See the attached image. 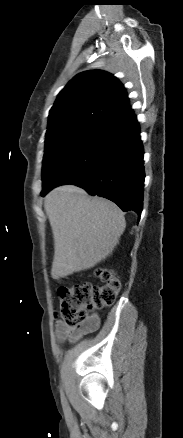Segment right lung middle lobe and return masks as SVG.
I'll return each mask as SVG.
<instances>
[{"instance_id":"right-lung-middle-lobe-1","label":"right lung middle lobe","mask_w":183,"mask_h":438,"mask_svg":"<svg viewBox=\"0 0 183 438\" xmlns=\"http://www.w3.org/2000/svg\"><path fill=\"white\" fill-rule=\"evenodd\" d=\"M96 130L97 128L92 126H76L46 134L42 168L43 187L72 160Z\"/></svg>"}]
</instances>
